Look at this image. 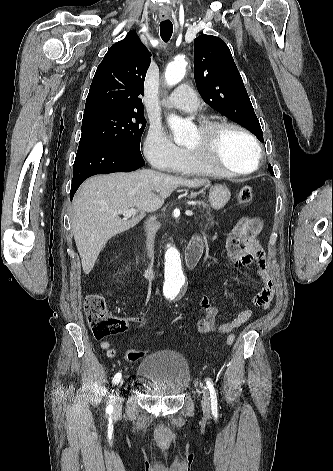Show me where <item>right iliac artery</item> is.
I'll list each match as a JSON object with an SVG mask.
<instances>
[{
	"label": "right iliac artery",
	"instance_id": "obj_1",
	"mask_svg": "<svg viewBox=\"0 0 333 471\" xmlns=\"http://www.w3.org/2000/svg\"><path fill=\"white\" fill-rule=\"evenodd\" d=\"M121 376H122V375H121L120 372H118L117 374H115V376L113 377V380H112L113 386H115L116 384L119 383V381H120V379H121ZM110 398L112 399V396H111ZM111 402H112V400H110L109 405L107 406V409H106V411H107L108 413H111L112 410H113V406H112Z\"/></svg>",
	"mask_w": 333,
	"mask_h": 471
}]
</instances>
